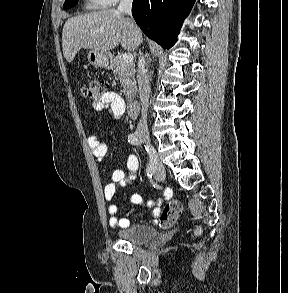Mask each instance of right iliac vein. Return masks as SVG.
<instances>
[{"mask_svg":"<svg viewBox=\"0 0 288 293\" xmlns=\"http://www.w3.org/2000/svg\"><path fill=\"white\" fill-rule=\"evenodd\" d=\"M143 142L146 143L147 148L148 147H153L149 140L144 138ZM156 156H158L157 152H156ZM153 173H154V176H155L156 180H158V181L164 180V178L166 176V171H165L164 165L162 163L159 164L158 170H153Z\"/></svg>","mask_w":288,"mask_h":293,"instance_id":"right-iliac-vein-1","label":"right iliac vein"}]
</instances>
